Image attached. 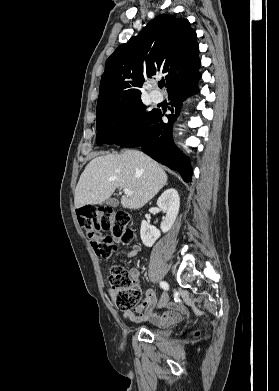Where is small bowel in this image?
<instances>
[{
  "instance_id": "small-bowel-1",
  "label": "small bowel",
  "mask_w": 279,
  "mask_h": 391,
  "mask_svg": "<svg viewBox=\"0 0 279 391\" xmlns=\"http://www.w3.org/2000/svg\"><path fill=\"white\" fill-rule=\"evenodd\" d=\"M139 251L140 246L134 244L126 254V257H134ZM132 275L136 278L138 276L137 271H132ZM156 303L155 291L152 288H146L143 300L133 310L124 312V317L134 323L150 322L157 327L166 328L179 322L182 314L185 312V308L179 302L172 301L167 302L165 305L167 310L163 314L154 313L153 310Z\"/></svg>"
}]
</instances>
